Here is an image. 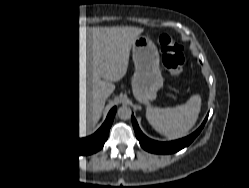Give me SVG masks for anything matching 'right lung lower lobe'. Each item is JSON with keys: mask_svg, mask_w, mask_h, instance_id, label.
<instances>
[{"mask_svg": "<svg viewBox=\"0 0 249 188\" xmlns=\"http://www.w3.org/2000/svg\"><path fill=\"white\" fill-rule=\"evenodd\" d=\"M60 66L58 65L55 77V96H54V132H47L49 140L65 154L74 156L90 155L99 151L108 138L109 130L112 125L116 107H113L100 129L91 136L79 138V125L77 131L69 136L66 135V80L63 65V53L61 54ZM47 105V90H46ZM78 114H79V83H78ZM79 116V115H78ZM79 124V123H78Z\"/></svg>", "mask_w": 249, "mask_h": 188, "instance_id": "98d812e1", "label": "right lung lower lobe"}]
</instances>
